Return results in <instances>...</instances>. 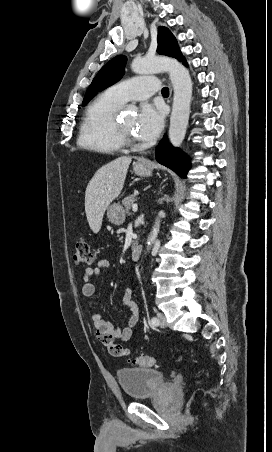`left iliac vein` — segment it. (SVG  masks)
<instances>
[{"mask_svg": "<svg viewBox=\"0 0 272 452\" xmlns=\"http://www.w3.org/2000/svg\"><path fill=\"white\" fill-rule=\"evenodd\" d=\"M157 318L159 320V324L158 325L160 327H162V328H165L167 326V322H166V318H165L164 314L158 313L157 314Z\"/></svg>", "mask_w": 272, "mask_h": 452, "instance_id": "left-iliac-vein-1", "label": "left iliac vein"}]
</instances>
